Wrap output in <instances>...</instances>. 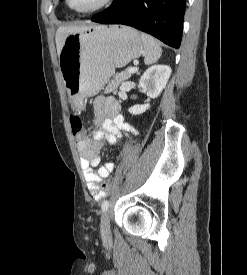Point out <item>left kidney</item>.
<instances>
[{"instance_id":"obj_1","label":"left kidney","mask_w":247,"mask_h":275,"mask_svg":"<svg viewBox=\"0 0 247 275\" xmlns=\"http://www.w3.org/2000/svg\"><path fill=\"white\" fill-rule=\"evenodd\" d=\"M172 70L167 65H154L148 68L139 81V87L149 98H157L165 88ZM150 108V104L134 105L128 111L132 115H139Z\"/></svg>"}]
</instances>
